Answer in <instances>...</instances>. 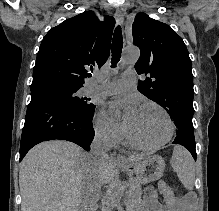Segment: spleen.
Here are the masks:
<instances>
[{
    "label": "spleen",
    "mask_w": 219,
    "mask_h": 211,
    "mask_svg": "<svg viewBox=\"0 0 219 211\" xmlns=\"http://www.w3.org/2000/svg\"><path fill=\"white\" fill-rule=\"evenodd\" d=\"M171 165L184 187L193 189L195 183V165L193 157H191L186 147L175 145L172 153Z\"/></svg>",
    "instance_id": "spleen-1"
}]
</instances>
